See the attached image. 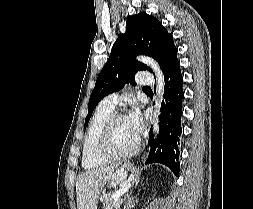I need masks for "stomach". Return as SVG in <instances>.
Instances as JSON below:
<instances>
[{
  "label": "stomach",
  "mask_w": 253,
  "mask_h": 209,
  "mask_svg": "<svg viewBox=\"0 0 253 209\" xmlns=\"http://www.w3.org/2000/svg\"><path fill=\"white\" fill-rule=\"evenodd\" d=\"M105 186H114V181H105Z\"/></svg>",
  "instance_id": "1"
}]
</instances>
